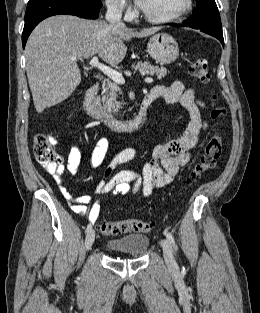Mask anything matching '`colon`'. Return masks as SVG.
Returning <instances> with one entry per match:
<instances>
[{
  "label": "colon",
  "instance_id": "obj_1",
  "mask_svg": "<svg viewBox=\"0 0 260 313\" xmlns=\"http://www.w3.org/2000/svg\"><path fill=\"white\" fill-rule=\"evenodd\" d=\"M188 73L197 81L207 83L210 80L208 63L204 58L195 59L188 67ZM215 100V97H213ZM225 115L223 108L215 107L211 117L219 121ZM223 138L219 132L214 133L207 141L200 161L190 170L187 180L192 183L200 179L206 172L215 168L222 153ZM34 155L38 163L50 173L60 172L62 158L56 151V140L47 134L39 133L34 139ZM151 224L138 219L120 221H104L100 225L106 236H119L126 233H147Z\"/></svg>",
  "mask_w": 260,
  "mask_h": 313
}]
</instances>
